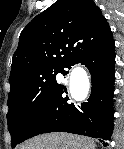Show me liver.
<instances>
[{
  "label": "liver",
  "mask_w": 124,
  "mask_h": 149,
  "mask_svg": "<svg viewBox=\"0 0 124 149\" xmlns=\"http://www.w3.org/2000/svg\"><path fill=\"white\" fill-rule=\"evenodd\" d=\"M88 138L66 133H51L37 136L26 142L21 149H95Z\"/></svg>",
  "instance_id": "obj_1"
}]
</instances>
